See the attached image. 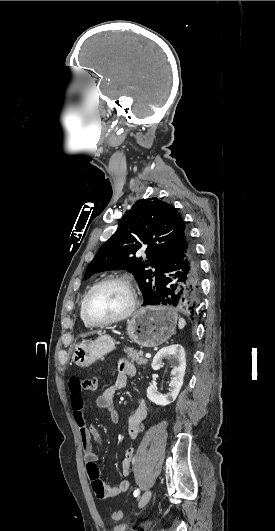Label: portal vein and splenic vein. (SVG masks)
Instances as JSON below:
<instances>
[{
  "label": "portal vein and splenic vein",
  "instance_id": "portal-vein-and-splenic-vein-1",
  "mask_svg": "<svg viewBox=\"0 0 275 531\" xmlns=\"http://www.w3.org/2000/svg\"><path fill=\"white\" fill-rule=\"evenodd\" d=\"M145 357H146V359H150V357H151L150 353H146Z\"/></svg>",
  "mask_w": 275,
  "mask_h": 531
}]
</instances>
